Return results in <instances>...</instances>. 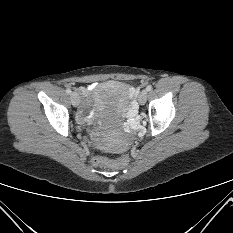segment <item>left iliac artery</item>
<instances>
[{"instance_id": "left-iliac-artery-1", "label": "left iliac artery", "mask_w": 233, "mask_h": 233, "mask_svg": "<svg viewBox=\"0 0 233 233\" xmlns=\"http://www.w3.org/2000/svg\"><path fill=\"white\" fill-rule=\"evenodd\" d=\"M146 90H147V91H151V90H152V86H151V85H148V86L146 87Z\"/></svg>"}]
</instances>
